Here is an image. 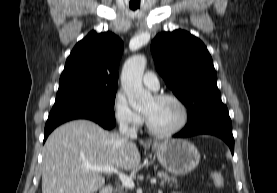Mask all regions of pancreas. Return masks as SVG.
Listing matches in <instances>:
<instances>
[{"label":"pancreas","instance_id":"pancreas-1","mask_svg":"<svg viewBox=\"0 0 277 193\" xmlns=\"http://www.w3.org/2000/svg\"><path fill=\"white\" fill-rule=\"evenodd\" d=\"M158 176L161 179V185H164L166 183L171 185L172 183H175L177 181L175 177L169 176V174L165 171L158 172ZM115 193H127V189L124 187H118Z\"/></svg>","mask_w":277,"mask_h":193}]
</instances>
